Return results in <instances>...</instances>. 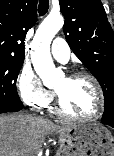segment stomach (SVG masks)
<instances>
[{
	"instance_id": "obj_1",
	"label": "stomach",
	"mask_w": 114,
	"mask_h": 156,
	"mask_svg": "<svg viewBox=\"0 0 114 156\" xmlns=\"http://www.w3.org/2000/svg\"><path fill=\"white\" fill-rule=\"evenodd\" d=\"M56 156H114V137L99 124L73 125L59 133Z\"/></svg>"
}]
</instances>
